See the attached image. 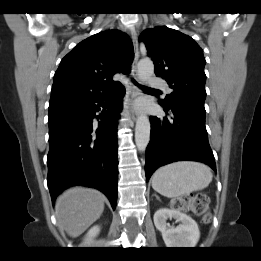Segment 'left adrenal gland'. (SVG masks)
I'll use <instances>...</instances> for the list:
<instances>
[{
	"mask_svg": "<svg viewBox=\"0 0 261 261\" xmlns=\"http://www.w3.org/2000/svg\"><path fill=\"white\" fill-rule=\"evenodd\" d=\"M154 196L157 198V200H160L159 196H157L156 194H154Z\"/></svg>",
	"mask_w": 261,
	"mask_h": 261,
	"instance_id": "left-adrenal-gland-1",
	"label": "left adrenal gland"
}]
</instances>
